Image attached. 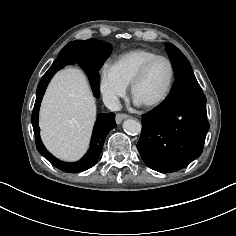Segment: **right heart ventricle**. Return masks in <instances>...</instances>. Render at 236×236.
I'll use <instances>...</instances> for the list:
<instances>
[{"label":"right heart ventricle","mask_w":236,"mask_h":236,"mask_svg":"<svg viewBox=\"0 0 236 236\" xmlns=\"http://www.w3.org/2000/svg\"><path fill=\"white\" fill-rule=\"evenodd\" d=\"M157 55V53L145 48L129 50L118 55L112 67L119 79L126 86H129L142 65Z\"/></svg>","instance_id":"right-heart-ventricle-1"}]
</instances>
